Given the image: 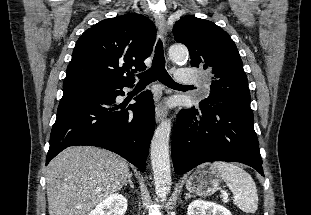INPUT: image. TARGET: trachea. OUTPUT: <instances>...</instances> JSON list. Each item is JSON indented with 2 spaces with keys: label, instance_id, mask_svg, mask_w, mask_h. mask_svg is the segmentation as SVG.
<instances>
[{
  "label": "trachea",
  "instance_id": "3493384b",
  "mask_svg": "<svg viewBox=\"0 0 311 215\" xmlns=\"http://www.w3.org/2000/svg\"><path fill=\"white\" fill-rule=\"evenodd\" d=\"M138 78V84L143 86L159 80L161 83L171 88L183 87V85L176 83L166 71L163 44L160 39L155 47V54L151 68L139 74Z\"/></svg>",
  "mask_w": 311,
  "mask_h": 215
}]
</instances>
